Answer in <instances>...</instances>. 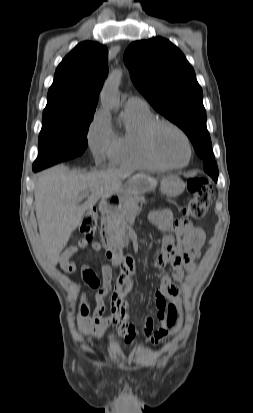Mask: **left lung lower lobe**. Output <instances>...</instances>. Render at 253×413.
Here are the masks:
<instances>
[{
	"label": "left lung lower lobe",
	"instance_id": "obj_1",
	"mask_svg": "<svg viewBox=\"0 0 253 413\" xmlns=\"http://www.w3.org/2000/svg\"><path fill=\"white\" fill-rule=\"evenodd\" d=\"M213 179H214L215 182H217L218 177H214Z\"/></svg>",
	"mask_w": 253,
	"mask_h": 413
}]
</instances>
